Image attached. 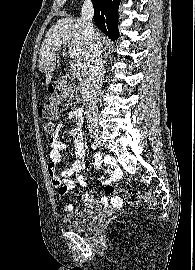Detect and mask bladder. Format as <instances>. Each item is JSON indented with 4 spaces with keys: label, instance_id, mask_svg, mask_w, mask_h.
<instances>
[{
    "label": "bladder",
    "instance_id": "obj_1",
    "mask_svg": "<svg viewBox=\"0 0 195 270\" xmlns=\"http://www.w3.org/2000/svg\"><path fill=\"white\" fill-rule=\"evenodd\" d=\"M98 214L92 209L67 212L63 217L64 225L75 232L90 231L96 224Z\"/></svg>",
    "mask_w": 195,
    "mask_h": 270
}]
</instances>
